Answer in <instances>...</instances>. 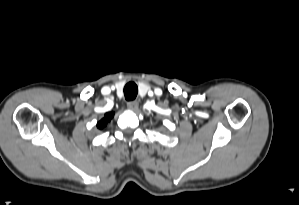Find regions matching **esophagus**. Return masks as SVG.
Returning a JSON list of instances; mask_svg holds the SVG:
<instances>
[{"label":"esophagus","instance_id":"esophagus-1","mask_svg":"<svg viewBox=\"0 0 299 205\" xmlns=\"http://www.w3.org/2000/svg\"><path fill=\"white\" fill-rule=\"evenodd\" d=\"M139 106V103L136 100L129 101L127 103V108L129 110L135 111Z\"/></svg>","mask_w":299,"mask_h":205}]
</instances>
